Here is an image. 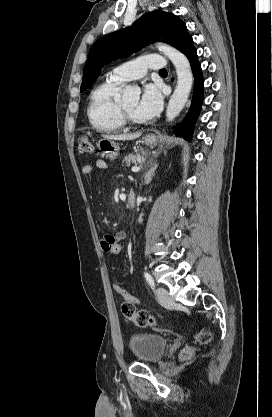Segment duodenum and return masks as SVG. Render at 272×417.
Masks as SVG:
<instances>
[{
    "instance_id": "obj_1",
    "label": "duodenum",
    "mask_w": 272,
    "mask_h": 417,
    "mask_svg": "<svg viewBox=\"0 0 272 417\" xmlns=\"http://www.w3.org/2000/svg\"><path fill=\"white\" fill-rule=\"evenodd\" d=\"M136 202V193L135 191L131 190L126 199V206L127 208H133Z\"/></svg>"
}]
</instances>
